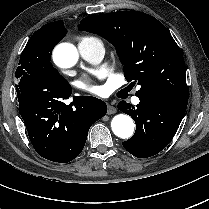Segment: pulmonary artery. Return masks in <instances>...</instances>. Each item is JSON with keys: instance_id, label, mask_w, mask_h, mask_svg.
Returning <instances> with one entry per match:
<instances>
[{"instance_id": "1", "label": "pulmonary artery", "mask_w": 209, "mask_h": 209, "mask_svg": "<svg viewBox=\"0 0 209 209\" xmlns=\"http://www.w3.org/2000/svg\"><path fill=\"white\" fill-rule=\"evenodd\" d=\"M78 50L83 59L94 64L101 62L105 55L104 46L98 40L81 41L78 44ZM131 102L137 105L140 103V99L137 96H132Z\"/></svg>"}]
</instances>
